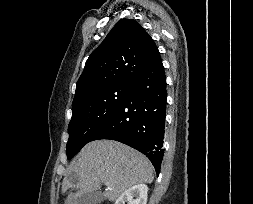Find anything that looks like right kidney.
I'll return each instance as SVG.
<instances>
[{
    "label": "right kidney",
    "mask_w": 253,
    "mask_h": 204,
    "mask_svg": "<svg viewBox=\"0 0 253 204\" xmlns=\"http://www.w3.org/2000/svg\"><path fill=\"white\" fill-rule=\"evenodd\" d=\"M147 195V185L137 184L122 193L115 204H146Z\"/></svg>",
    "instance_id": "1"
}]
</instances>
